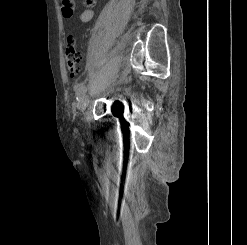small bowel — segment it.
<instances>
[{
	"label": "small bowel",
	"instance_id": "small-bowel-1",
	"mask_svg": "<svg viewBox=\"0 0 247 245\" xmlns=\"http://www.w3.org/2000/svg\"><path fill=\"white\" fill-rule=\"evenodd\" d=\"M84 4L87 9L80 14L79 19L81 22H88L94 15L93 7L96 5V0H84ZM61 10L64 17L71 18L74 12L73 0H62Z\"/></svg>",
	"mask_w": 247,
	"mask_h": 245
}]
</instances>
